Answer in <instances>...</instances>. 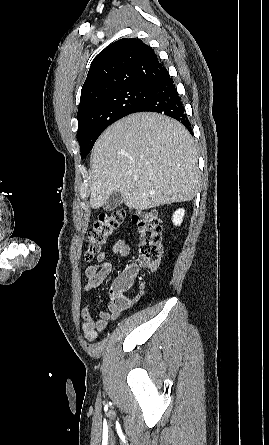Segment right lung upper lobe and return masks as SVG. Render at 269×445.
Returning a JSON list of instances; mask_svg holds the SVG:
<instances>
[{
    "label": "right lung upper lobe",
    "instance_id": "cb5924a9",
    "mask_svg": "<svg viewBox=\"0 0 269 445\" xmlns=\"http://www.w3.org/2000/svg\"><path fill=\"white\" fill-rule=\"evenodd\" d=\"M166 71L154 50L140 39H120L94 58L82 86L78 109L117 88L152 86Z\"/></svg>",
    "mask_w": 269,
    "mask_h": 445
}]
</instances>
